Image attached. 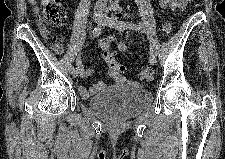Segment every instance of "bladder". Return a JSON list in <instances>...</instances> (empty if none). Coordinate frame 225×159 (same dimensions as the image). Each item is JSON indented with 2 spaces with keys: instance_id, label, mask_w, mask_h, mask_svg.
Segmentation results:
<instances>
[{
  "instance_id": "1",
  "label": "bladder",
  "mask_w": 225,
  "mask_h": 159,
  "mask_svg": "<svg viewBox=\"0 0 225 159\" xmlns=\"http://www.w3.org/2000/svg\"><path fill=\"white\" fill-rule=\"evenodd\" d=\"M152 102L150 92L140 86H110L88 100L89 109L105 120H127Z\"/></svg>"
}]
</instances>
